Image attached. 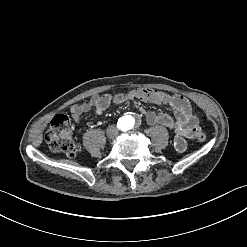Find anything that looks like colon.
Listing matches in <instances>:
<instances>
[{"label":"colon","mask_w":247,"mask_h":247,"mask_svg":"<svg viewBox=\"0 0 247 247\" xmlns=\"http://www.w3.org/2000/svg\"><path fill=\"white\" fill-rule=\"evenodd\" d=\"M133 95L138 101H154L160 98L158 88H134ZM118 100L123 98L121 93L116 95ZM71 122L65 115L56 116L46 129L44 139L49 148L55 153L74 155L79 150V145L71 135ZM198 140H205L201 130L196 135Z\"/></svg>","instance_id":"1"}]
</instances>
